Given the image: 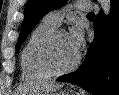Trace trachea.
I'll use <instances>...</instances> for the list:
<instances>
[{"label": "trachea", "mask_w": 119, "mask_h": 95, "mask_svg": "<svg viewBox=\"0 0 119 95\" xmlns=\"http://www.w3.org/2000/svg\"><path fill=\"white\" fill-rule=\"evenodd\" d=\"M87 16H94V13L90 12V13L87 14Z\"/></svg>", "instance_id": "trachea-1"}]
</instances>
